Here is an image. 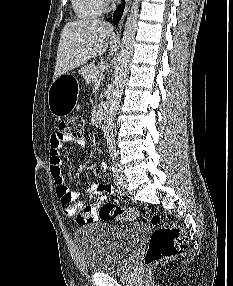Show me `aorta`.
<instances>
[{
    "label": "aorta",
    "mask_w": 233,
    "mask_h": 286,
    "mask_svg": "<svg viewBox=\"0 0 233 286\" xmlns=\"http://www.w3.org/2000/svg\"><path fill=\"white\" fill-rule=\"evenodd\" d=\"M139 1L140 0H134L132 3L131 11L124 27L121 52L115 68V78L112 84L109 107L105 120V129L109 140L113 138L114 117L121 101L124 85L128 78L129 62L133 54L137 29Z\"/></svg>",
    "instance_id": "762f6f07"
}]
</instances>
